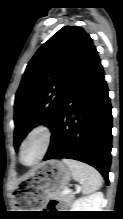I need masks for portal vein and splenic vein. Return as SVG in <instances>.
<instances>
[{
    "label": "portal vein and splenic vein",
    "mask_w": 123,
    "mask_h": 219,
    "mask_svg": "<svg viewBox=\"0 0 123 219\" xmlns=\"http://www.w3.org/2000/svg\"><path fill=\"white\" fill-rule=\"evenodd\" d=\"M77 188L79 189V186H78ZM63 193H64V194H69V193H70V189H65V190H63Z\"/></svg>",
    "instance_id": "1"
}]
</instances>
